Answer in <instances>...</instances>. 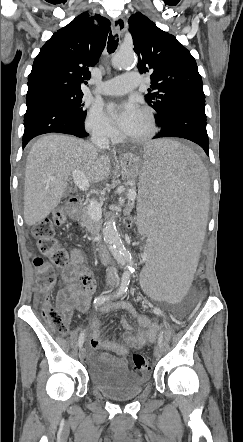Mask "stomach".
Returning <instances> with one entry per match:
<instances>
[{
	"instance_id": "stomach-1",
	"label": "stomach",
	"mask_w": 243,
	"mask_h": 442,
	"mask_svg": "<svg viewBox=\"0 0 243 442\" xmlns=\"http://www.w3.org/2000/svg\"><path fill=\"white\" fill-rule=\"evenodd\" d=\"M122 176L125 178H136L137 174V165H139V156L134 154H125L118 162H117Z\"/></svg>"
}]
</instances>
